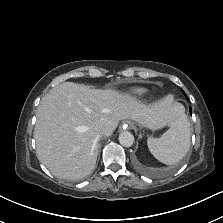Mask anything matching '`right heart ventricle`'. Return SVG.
<instances>
[{
    "mask_svg": "<svg viewBox=\"0 0 223 223\" xmlns=\"http://www.w3.org/2000/svg\"><path fill=\"white\" fill-rule=\"evenodd\" d=\"M147 92H148L147 89L137 87V88H133V89L129 90L128 94L132 98H142L147 94Z\"/></svg>",
    "mask_w": 223,
    "mask_h": 223,
    "instance_id": "1",
    "label": "right heart ventricle"
}]
</instances>
